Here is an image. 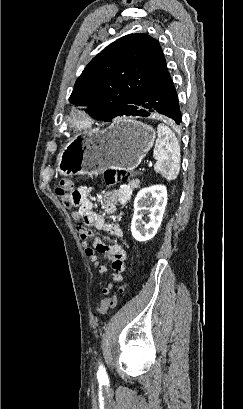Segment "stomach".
<instances>
[{
    "label": "stomach",
    "mask_w": 243,
    "mask_h": 409,
    "mask_svg": "<svg viewBox=\"0 0 243 409\" xmlns=\"http://www.w3.org/2000/svg\"><path fill=\"white\" fill-rule=\"evenodd\" d=\"M155 130L140 121L121 118L103 130L71 139L57 157L63 176L97 175L107 169H135L153 146Z\"/></svg>",
    "instance_id": "0dacf381"
}]
</instances>
